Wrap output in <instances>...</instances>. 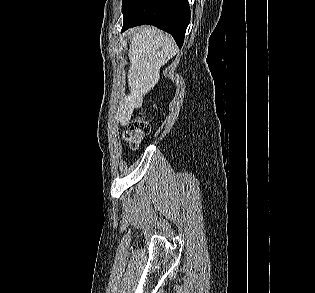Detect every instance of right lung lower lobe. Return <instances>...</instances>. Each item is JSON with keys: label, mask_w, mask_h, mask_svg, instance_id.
Wrapping results in <instances>:
<instances>
[{"label": "right lung lower lobe", "mask_w": 315, "mask_h": 293, "mask_svg": "<svg viewBox=\"0 0 315 293\" xmlns=\"http://www.w3.org/2000/svg\"><path fill=\"white\" fill-rule=\"evenodd\" d=\"M122 32L128 28L151 24L168 33L182 46L190 22L188 0H123Z\"/></svg>", "instance_id": "98d812e1"}]
</instances>
